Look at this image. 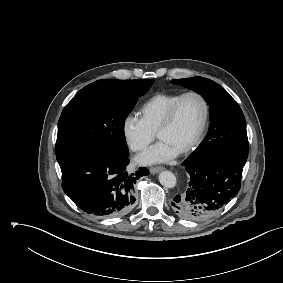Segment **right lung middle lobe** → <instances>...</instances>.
<instances>
[{
	"label": "right lung middle lobe",
	"instance_id": "1",
	"mask_svg": "<svg viewBox=\"0 0 283 283\" xmlns=\"http://www.w3.org/2000/svg\"><path fill=\"white\" fill-rule=\"evenodd\" d=\"M153 82L102 79L77 92L58 122L56 158L59 165L93 150L128 154L125 119Z\"/></svg>",
	"mask_w": 283,
	"mask_h": 283
}]
</instances>
